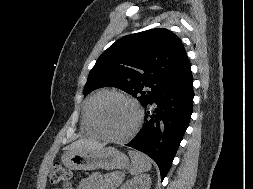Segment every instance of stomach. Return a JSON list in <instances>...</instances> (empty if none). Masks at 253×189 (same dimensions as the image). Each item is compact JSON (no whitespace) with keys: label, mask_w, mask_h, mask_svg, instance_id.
<instances>
[{"label":"stomach","mask_w":253,"mask_h":189,"mask_svg":"<svg viewBox=\"0 0 253 189\" xmlns=\"http://www.w3.org/2000/svg\"><path fill=\"white\" fill-rule=\"evenodd\" d=\"M61 161L64 166L71 170H95L99 168L113 170L126 169L129 166L128 157L113 147H106L97 151L66 152Z\"/></svg>","instance_id":"0dacf381"}]
</instances>
